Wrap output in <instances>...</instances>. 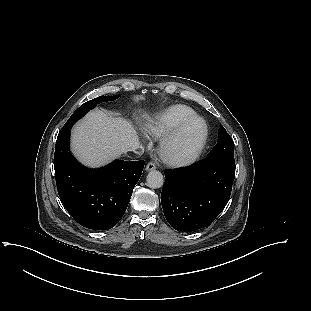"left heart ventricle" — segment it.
<instances>
[{"instance_id":"left-heart-ventricle-1","label":"left heart ventricle","mask_w":311,"mask_h":311,"mask_svg":"<svg viewBox=\"0 0 311 311\" xmlns=\"http://www.w3.org/2000/svg\"><path fill=\"white\" fill-rule=\"evenodd\" d=\"M201 123L195 121L190 124L182 134L172 144L170 151L175 155H184L189 153L199 140L201 133Z\"/></svg>"}]
</instances>
